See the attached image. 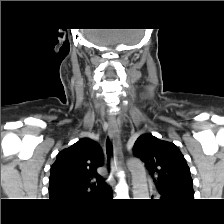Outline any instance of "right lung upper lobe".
<instances>
[{"instance_id":"cb5924a9","label":"right lung upper lobe","mask_w":224,"mask_h":224,"mask_svg":"<svg viewBox=\"0 0 224 224\" xmlns=\"http://www.w3.org/2000/svg\"><path fill=\"white\" fill-rule=\"evenodd\" d=\"M103 162L102 149L91 139L83 138L62 150L51 167L50 200L68 205L111 196L112 190L96 171Z\"/></svg>"}]
</instances>
